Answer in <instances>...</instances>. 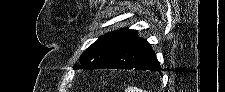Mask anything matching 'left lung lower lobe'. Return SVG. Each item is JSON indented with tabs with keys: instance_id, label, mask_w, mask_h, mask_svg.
Segmentation results:
<instances>
[{
	"instance_id": "left-lung-lower-lobe-1",
	"label": "left lung lower lobe",
	"mask_w": 225,
	"mask_h": 92,
	"mask_svg": "<svg viewBox=\"0 0 225 92\" xmlns=\"http://www.w3.org/2000/svg\"><path fill=\"white\" fill-rule=\"evenodd\" d=\"M135 69L160 72L161 67L149 43L140 37L123 46L95 69Z\"/></svg>"
}]
</instances>
